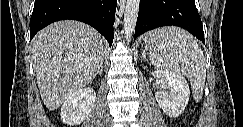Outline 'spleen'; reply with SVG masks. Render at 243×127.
<instances>
[{
    "mask_svg": "<svg viewBox=\"0 0 243 127\" xmlns=\"http://www.w3.org/2000/svg\"><path fill=\"white\" fill-rule=\"evenodd\" d=\"M148 38L157 43V49L150 52L151 62L163 72L186 76L194 98L200 100L206 80V61L193 36L180 28L165 27Z\"/></svg>",
    "mask_w": 243,
    "mask_h": 127,
    "instance_id": "spleen-1",
    "label": "spleen"
}]
</instances>
